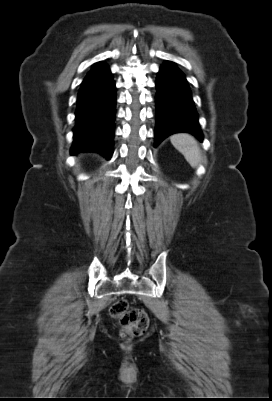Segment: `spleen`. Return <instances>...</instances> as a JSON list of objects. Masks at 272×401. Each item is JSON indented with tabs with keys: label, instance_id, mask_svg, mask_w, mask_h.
<instances>
[{
	"label": "spleen",
	"instance_id": "1",
	"mask_svg": "<svg viewBox=\"0 0 272 401\" xmlns=\"http://www.w3.org/2000/svg\"><path fill=\"white\" fill-rule=\"evenodd\" d=\"M172 145L183 154L191 167L196 168L201 162V152L197 141L189 134L180 133L171 136Z\"/></svg>",
	"mask_w": 272,
	"mask_h": 401
}]
</instances>
